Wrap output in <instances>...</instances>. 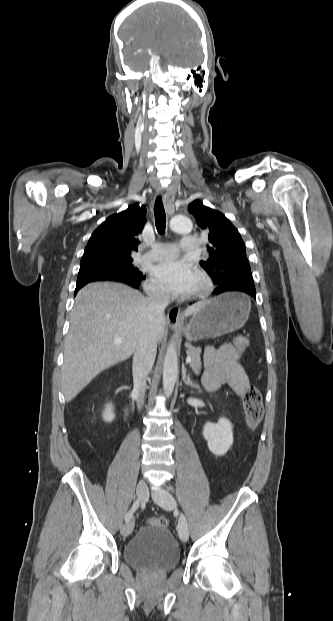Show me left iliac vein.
Masks as SVG:
<instances>
[{"instance_id":"left-iliac-vein-1","label":"left iliac vein","mask_w":333,"mask_h":621,"mask_svg":"<svg viewBox=\"0 0 333 621\" xmlns=\"http://www.w3.org/2000/svg\"><path fill=\"white\" fill-rule=\"evenodd\" d=\"M152 497L155 503L164 509L171 510L176 508L175 498L166 490L156 491L153 493ZM177 530L180 539L186 542L189 538V530L187 519L182 513L179 515Z\"/></svg>"}]
</instances>
